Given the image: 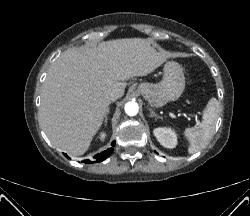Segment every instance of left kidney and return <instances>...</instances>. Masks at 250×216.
<instances>
[{"mask_svg": "<svg viewBox=\"0 0 250 216\" xmlns=\"http://www.w3.org/2000/svg\"><path fill=\"white\" fill-rule=\"evenodd\" d=\"M158 142L166 148H175L177 145L176 133L171 128L159 127L153 131Z\"/></svg>", "mask_w": 250, "mask_h": 216, "instance_id": "obj_1", "label": "left kidney"}]
</instances>
